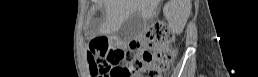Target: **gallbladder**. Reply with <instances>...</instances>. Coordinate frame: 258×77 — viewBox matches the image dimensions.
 <instances>
[{
  "label": "gallbladder",
  "mask_w": 258,
  "mask_h": 77,
  "mask_svg": "<svg viewBox=\"0 0 258 77\" xmlns=\"http://www.w3.org/2000/svg\"><path fill=\"white\" fill-rule=\"evenodd\" d=\"M145 20L139 12H135L126 19L118 30V37L125 42L135 39L143 32Z\"/></svg>",
  "instance_id": "1"
}]
</instances>
